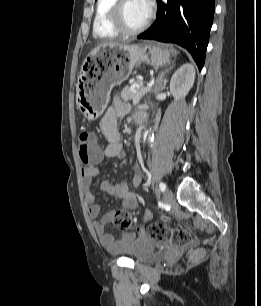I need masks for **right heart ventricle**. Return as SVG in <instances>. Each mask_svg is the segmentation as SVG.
Instances as JSON below:
<instances>
[{
  "instance_id": "right-heart-ventricle-1",
  "label": "right heart ventricle",
  "mask_w": 261,
  "mask_h": 306,
  "mask_svg": "<svg viewBox=\"0 0 261 306\" xmlns=\"http://www.w3.org/2000/svg\"><path fill=\"white\" fill-rule=\"evenodd\" d=\"M116 0H97L94 18L93 35L99 39H113L120 36L110 21V11Z\"/></svg>"
}]
</instances>
